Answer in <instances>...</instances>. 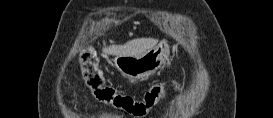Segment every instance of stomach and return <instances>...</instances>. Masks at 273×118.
<instances>
[{
	"mask_svg": "<svg viewBox=\"0 0 273 118\" xmlns=\"http://www.w3.org/2000/svg\"><path fill=\"white\" fill-rule=\"evenodd\" d=\"M170 59V48L166 40L137 56L119 55L113 59L115 67L126 77L145 79L154 74Z\"/></svg>",
	"mask_w": 273,
	"mask_h": 118,
	"instance_id": "1",
	"label": "stomach"
}]
</instances>
